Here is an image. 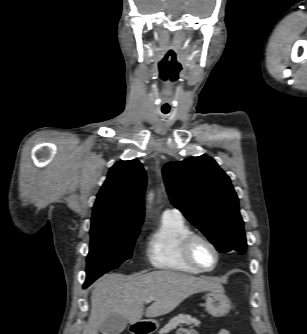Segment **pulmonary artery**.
Returning <instances> with one entry per match:
<instances>
[{
	"label": "pulmonary artery",
	"mask_w": 307,
	"mask_h": 334,
	"mask_svg": "<svg viewBox=\"0 0 307 334\" xmlns=\"http://www.w3.org/2000/svg\"><path fill=\"white\" fill-rule=\"evenodd\" d=\"M164 216H174L178 218H182V213L176 208H167L163 212Z\"/></svg>",
	"instance_id": "obj_1"
}]
</instances>
